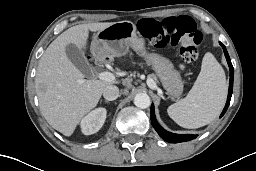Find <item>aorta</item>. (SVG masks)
I'll list each match as a JSON object with an SVG mask.
<instances>
[{
	"instance_id": "obj_1",
	"label": "aorta",
	"mask_w": 256,
	"mask_h": 171,
	"mask_svg": "<svg viewBox=\"0 0 256 171\" xmlns=\"http://www.w3.org/2000/svg\"><path fill=\"white\" fill-rule=\"evenodd\" d=\"M150 97L146 93H138L134 97V104L136 107L146 109L150 106Z\"/></svg>"
}]
</instances>
